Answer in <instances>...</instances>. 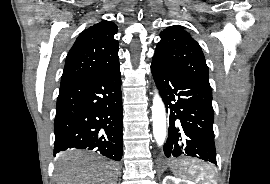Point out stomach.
<instances>
[{
  "label": "stomach",
  "mask_w": 270,
  "mask_h": 184,
  "mask_svg": "<svg viewBox=\"0 0 270 184\" xmlns=\"http://www.w3.org/2000/svg\"><path fill=\"white\" fill-rule=\"evenodd\" d=\"M188 164L189 163L187 161L176 160L172 162L171 169L174 174H176L177 176H181L183 171L187 168Z\"/></svg>",
  "instance_id": "1"
}]
</instances>
